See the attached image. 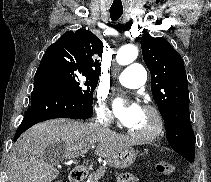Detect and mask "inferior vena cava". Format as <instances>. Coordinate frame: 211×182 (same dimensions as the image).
Here are the masks:
<instances>
[{
	"mask_svg": "<svg viewBox=\"0 0 211 182\" xmlns=\"http://www.w3.org/2000/svg\"><path fill=\"white\" fill-rule=\"evenodd\" d=\"M94 126L102 127V130H105V129H107V122H106V120H104V123H98V121H96V123L94 124Z\"/></svg>",
	"mask_w": 211,
	"mask_h": 182,
	"instance_id": "obj_1",
	"label": "inferior vena cava"
}]
</instances>
